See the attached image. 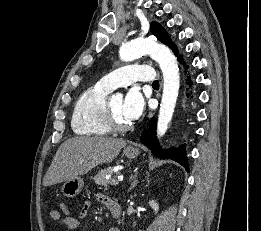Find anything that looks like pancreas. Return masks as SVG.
Returning a JSON list of instances; mask_svg holds the SVG:
<instances>
[{
    "label": "pancreas",
    "instance_id": "obj_1",
    "mask_svg": "<svg viewBox=\"0 0 261 231\" xmlns=\"http://www.w3.org/2000/svg\"><path fill=\"white\" fill-rule=\"evenodd\" d=\"M113 172V167H108L105 169H101L94 177L93 180L96 184L102 185V186H108L111 184L112 179H106L105 176L108 174H111ZM119 174V172H117Z\"/></svg>",
    "mask_w": 261,
    "mask_h": 231
}]
</instances>
